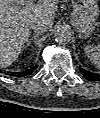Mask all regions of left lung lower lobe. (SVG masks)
I'll list each match as a JSON object with an SVG mask.
<instances>
[{
	"label": "left lung lower lobe",
	"mask_w": 100,
	"mask_h": 118,
	"mask_svg": "<svg viewBox=\"0 0 100 118\" xmlns=\"http://www.w3.org/2000/svg\"><path fill=\"white\" fill-rule=\"evenodd\" d=\"M82 75L89 81H100V76L96 73H92L81 69Z\"/></svg>",
	"instance_id": "obj_1"
}]
</instances>
